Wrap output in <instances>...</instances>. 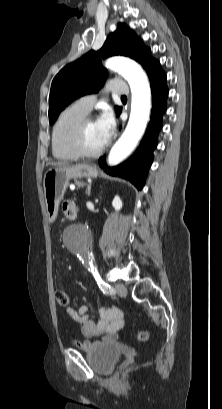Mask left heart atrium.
Here are the masks:
<instances>
[{"label":"left heart atrium","mask_w":222,"mask_h":409,"mask_svg":"<svg viewBox=\"0 0 222 409\" xmlns=\"http://www.w3.org/2000/svg\"><path fill=\"white\" fill-rule=\"evenodd\" d=\"M102 142L105 145L112 137L115 129V121L109 110L104 111L96 121Z\"/></svg>","instance_id":"1"}]
</instances>
